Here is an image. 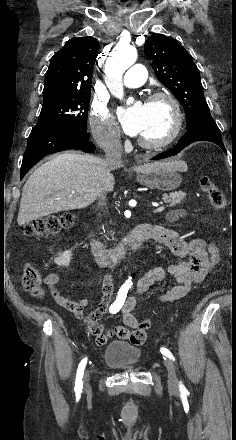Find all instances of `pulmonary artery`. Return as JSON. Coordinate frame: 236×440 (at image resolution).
<instances>
[{
    "mask_svg": "<svg viewBox=\"0 0 236 440\" xmlns=\"http://www.w3.org/2000/svg\"><path fill=\"white\" fill-rule=\"evenodd\" d=\"M147 71L143 65L136 64L131 66L126 72L123 84L126 88H137L144 84Z\"/></svg>",
    "mask_w": 236,
    "mask_h": 440,
    "instance_id": "1",
    "label": "pulmonary artery"
}]
</instances>
